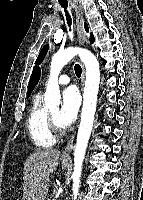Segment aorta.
Instances as JSON below:
<instances>
[{"instance_id": "aorta-1", "label": "aorta", "mask_w": 143, "mask_h": 200, "mask_svg": "<svg viewBox=\"0 0 143 200\" xmlns=\"http://www.w3.org/2000/svg\"><path fill=\"white\" fill-rule=\"evenodd\" d=\"M76 55H79L86 68V81L83 95V107L81 121L77 134L74 151V168L72 173L73 199L79 194L82 165L86 148L93 128L94 115L96 111L97 95L100 84L99 62L95 55L87 49L69 47L54 54L48 79L47 90L44 95L46 107H58L61 101L58 76L62 68Z\"/></svg>"}]
</instances>
